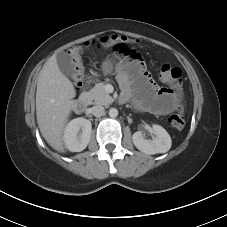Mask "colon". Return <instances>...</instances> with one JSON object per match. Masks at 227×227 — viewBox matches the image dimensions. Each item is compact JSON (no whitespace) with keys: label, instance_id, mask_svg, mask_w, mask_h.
I'll use <instances>...</instances> for the list:
<instances>
[{"label":"colon","instance_id":"colon-1","mask_svg":"<svg viewBox=\"0 0 227 227\" xmlns=\"http://www.w3.org/2000/svg\"><path fill=\"white\" fill-rule=\"evenodd\" d=\"M128 43L129 40L121 35L105 36L100 40L101 45L112 47L115 52L130 56L134 54V52L129 49ZM83 49V46H76L68 51L75 70L74 78L76 82H79L81 79L80 54ZM160 78L172 88V91L175 93L178 100L177 111L175 114L169 117L168 124L176 130H181L185 125L182 93V72L179 68L165 63L160 68Z\"/></svg>","mask_w":227,"mask_h":227}]
</instances>
